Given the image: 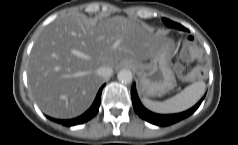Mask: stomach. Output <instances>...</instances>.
Segmentation results:
<instances>
[{"label": "stomach", "instance_id": "stomach-1", "mask_svg": "<svg viewBox=\"0 0 238 145\" xmlns=\"http://www.w3.org/2000/svg\"><path fill=\"white\" fill-rule=\"evenodd\" d=\"M173 44L166 41L162 50L153 56L149 63L140 62L136 72L139 79V91L143 96H162L169 92L176 82L171 69Z\"/></svg>", "mask_w": 238, "mask_h": 145}]
</instances>
